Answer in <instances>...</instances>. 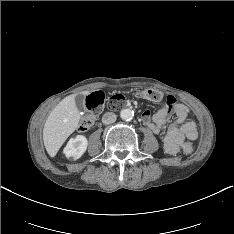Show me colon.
Instances as JSON below:
<instances>
[{"label": "colon", "instance_id": "5ec220e1", "mask_svg": "<svg viewBox=\"0 0 234 234\" xmlns=\"http://www.w3.org/2000/svg\"><path fill=\"white\" fill-rule=\"evenodd\" d=\"M137 96L149 101L158 102L163 99V94L154 89H147L137 93ZM125 104V97L121 93L112 95L106 98L101 92H93L86 98V115L81 119L78 130L80 132L88 131L94 124L95 118L99 115L103 108L107 110L116 111L121 109ZM186 154H191L197 150L196 144L186 143L183 147Z\"/></svg>", "mask_w": 234, "mask_h": 234}]
</instances>
